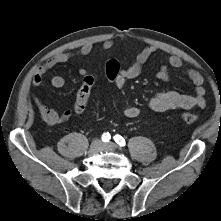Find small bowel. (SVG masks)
Instances as JSON below:
<instances>
[{
	"mask_svg": "<svg viewBox=\"0 0 221 221\" xmlns=\"http://www.w3.org/2000/svg\"><path fill=\"white\" fill-rule=\"evenodd\" d=\"M112 40H105L102 43V49L107 51L113 48ZM91 44L81 46L76 52H60L48 59L44 64L37 67L32 78V85L40 87L45 83L44 75L47 71L54 68L56 65L68 61L75 55H88L92 51ZM157 52L154 46H148L135 54V61L132 65L121 68L118 78L113 82L118 88H123L126 82L130 79L138 77L143 70V65L149 58ZM168 65L175 69H180L183 66L182 60L177 56H170L167 58ZM186 73L192 83L195 85L194 94H186L179 91L169 90L158 92L154 94L149 100L148 106L151 110L156 112H165L170 110H188L194 107L203 108L206 104L205 94L206 89L203 86L202 75L194 70L188 69ZM79 74L84 78L89 75L87 70L80 69ZM158 79L168 81L170 74L167 66L161 67L156 73ZM51 86L55 88H62L65 85V79L61 76H53L50 79ZM34 104L41 115L42 119L50 125H60L66 122L74 113L73 110H66L59 114L54 109L46 106L38 97L33 98ZM140 114V109L136 106H128L124 110V115L127 118H136Z\"/></svg>",
	"mask_w": 221,
	"mask_h": 221,
	"instance_id": "obj_1",
	"label": "small bowel"
}]
</instances>
